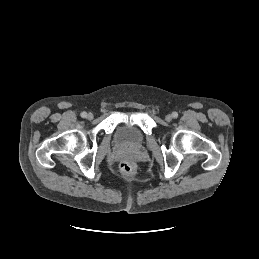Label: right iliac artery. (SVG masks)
<instances>
[{
  "label": "right iliac artery",
  "mask_w": 259,
  "mask_h": 259,
  "mask_svg": "<svg viewBox=\"0 0 259 259\" xmlns=\"http://www.w3.org/2000/svg\"><path fill=\"white\" fill-rule=\"evenodd\" d=\"M87 116V113L86 112H82L81 113V117L85 118Z\"/></svg>",
  "instance_id": "82829eb1"
}]
</instances>
